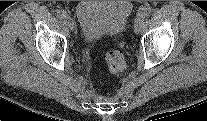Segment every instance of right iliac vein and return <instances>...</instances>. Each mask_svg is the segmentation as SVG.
Instances as JSON below:
<instances>
[{
	"label": "right iliac vein",
	"instance_id": "1",
	"mask_svg": "<svg viewBox=\"0 0 207 121\" xmlns=\"http://www.w3.org/2000/svg\"><path fill=\"white\" fill-rule=\"evenodd\" d=\"M64 21H65V23L68 25V27L72 30V29H74V21H73V19L70 17V16H66L65 18H64Z\"/></svg>",
	"mask_w": 207,
	"mask_h": 121
}]
</instances>
